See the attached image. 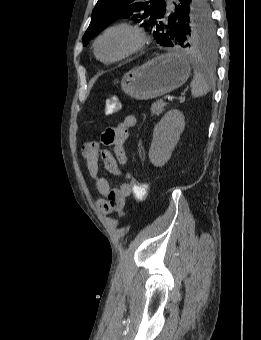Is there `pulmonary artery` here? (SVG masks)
Returning <instances> with one entry per match:
<instances>
[{
    "instance_id": "1",
    "label": "pulmonary artery",
    "mask_w": 261,
    "mask_h": 340,
    "mask_svg": "<svg viewBox=\"0 0 261 340\" xmlns=\"http://www.w3.org/2000/svg\"><path fill=\"white\" fill-rule=\"evenodd\" d=\"M172 7H171V5L169 4V10L171 9Z\"/></svg>"
}]
</instances>
